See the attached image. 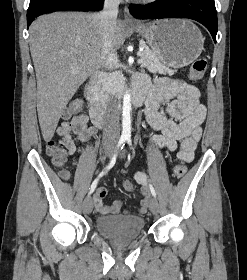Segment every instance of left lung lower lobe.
I'll use <instances>...</instances> for the list:
<instances>
[{
    "instance_id": "1",
    "label": "left lung lower lobe",
    "mask_w": 247,
    "mask_h": 280,
    "mask_svg": "<svg viewBox=\"0 0 247 280\" xmlns=\"http://www.w3.org/2000/svg\"><path fill=\"white\" fill-rule=\"evenodd\" d=\"M138 19L189 18L203 24L216 43L217 12L214 0H156L144 5L129 7Z\"/></svg>"
}]
</instances>
